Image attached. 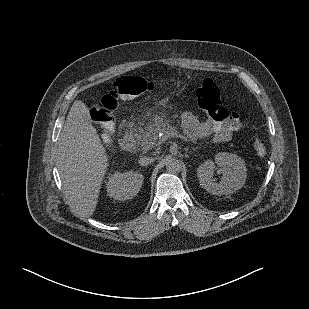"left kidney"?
Returning <instances> with one entry per match:
<instances>
[{"label": "left kidney", "mask_w": 309, "mask_h": 309, "mask_svg": "<svg viewBox=\"0 0 309 309\" xmlns=\"http://www.w3.org/2000/svg\"><path fill=\"white\" fill-rule=\"evenodd\" d=\"M216 165L223 175L220 182L213 178ZM196 172L200 186L214 195H227L241 189L247 178L244 160L227 152L217 153L214 161L206 160Z\"/></svg>", "instance_id": "5707ae66"}]
</instances>
